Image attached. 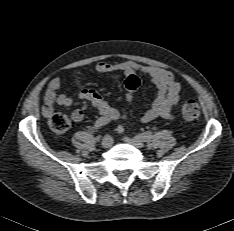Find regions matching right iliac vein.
Instances as JSON below:
<instances>
[{
    "instance_id": "1",
    "label": "right iliac vein",
    "mask_w": 234,
    "mask_h": 231,
    "mask_svg": "<svg viewBox=\"0 0 234 231\" xmlns=\"http://www.w3.org/2000/svg\"><path fill=\"white\" fill-rule=\"evenodd\" d=\"M113 144V138L110 135H106L103 137L101 146L105 149L110 148Z\"/></svg>"
}]
</instances>
